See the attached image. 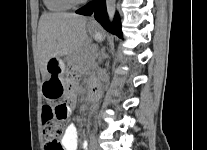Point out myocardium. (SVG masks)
<instances>
[{
    "mask_svg": "<svg viewBox=\"0 0 207 150\" xmlns=\"http://www.w3.org/2000/svg\"><path fill=\"white\" fill-rule=\"evenodd\" d=\"M72 6L81 5L85 3L87 0H67Z\"/></svg>",
    "mask_w": 207,
    "mask_h": 150,
    "instance_id": "obj_1",
    "label": "myocardium"
}]
</instances>
